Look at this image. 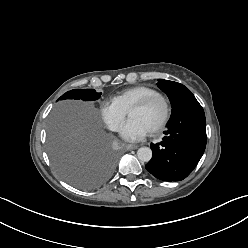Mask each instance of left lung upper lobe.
Segmentation results:
<instances>
[{
  "mask_svg": "<svg viewBox=\"0 0 248 248\" xmlns=\"http://www.w3.org/2000/svg\"><path fill=\"white\" fill-rule=\"evenodd\" d=\"M158 87L167 94L172 106V114L189 98L194 97L191 91L184 85L160 79Z\"/></svg>",
  "mask_w": 248,
  "mask_h": 248,
  "instance_id": "1",
  "label": "left lung upper lobe"
}]
</instances>
